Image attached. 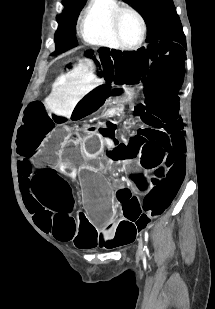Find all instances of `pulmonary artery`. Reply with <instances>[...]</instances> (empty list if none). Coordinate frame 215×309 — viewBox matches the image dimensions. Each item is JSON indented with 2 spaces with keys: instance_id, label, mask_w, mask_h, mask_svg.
I'll list each match as a JSON object with an SVG mask.
<instances>
[{
  "instance_id": "obj_1",
  "label": "pulmonary artery",
  "mask_w": 215,
  "mask_h": 309,
  "mask_svg": "<svg viewBox=\"0 0 215 309\" xmlns=\"http://www.w3.org/2000/svg\"><path fill=\"white\" fill-rule=\"evenodd\" d=\"M114 1L110 0H97L92 2V7L95 8L92 11L93 16H106L107 11L110 8H114Z\"/></svg>"
}]
</instances>
